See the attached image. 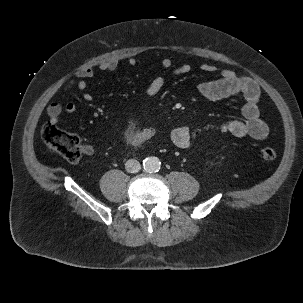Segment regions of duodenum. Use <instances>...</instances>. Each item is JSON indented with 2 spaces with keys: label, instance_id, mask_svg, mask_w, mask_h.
<instances>
[{
  "label": "duodenum",
  "instance_id": "obj_1",
  "mask_svg": "<svg viewBox=\"0 0 303 303\" xmlns=\"http://www.w3.org/2000/svg\"><path fill=\"white\" fill-rule=\"evenodd\" d=\"M130 141L131 142H138V141H140V138H139V136H137V135H135V136H133L131 139H130Z\"/></svg>",
  "mask_w": 303,
  "mask_h": 303
}]
</instances>
